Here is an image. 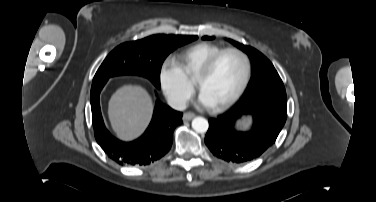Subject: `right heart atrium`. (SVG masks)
Masks as SVG:
<instances>
[{"instance_id":"d8ad5b80","label":"right heart atrium","mask_w":376,"mask_h":202,"mask_svg":"<svg viewBox=\"0 0 376 202\" xmlns=\"http://www.w3.org/2000/svg\"><path fill=\"white\" fill-rule=\"evenodd\" d=\"M160 89L169 102L176 109H183L194 93V86L182 73L172 59H165L158 72Z\"/></svg>"}]
</instances>
